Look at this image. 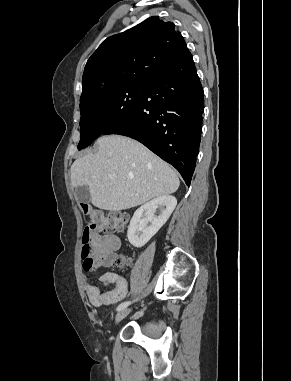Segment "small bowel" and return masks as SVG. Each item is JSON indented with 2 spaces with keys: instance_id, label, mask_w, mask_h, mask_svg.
Returning <instances> with one entry per match:
<instances>
[{
  "instance_id": "1",
  "label": "small bowel",
  "mask_w": 291,
  "mask_h": 381,
  "mask_svg": "<svg viewBox=\"0 0 291 381\" xmlns=\"http://www.w3.org/2000/svg\"><path fill=\"white\" fill-rule=\"evenodd\" d=\"M92 243L98 248V256L104 252H114L120 246V239L116 235H101L96 233L92 238ZM103 286H111L110 289L102 291L98 286L90 281H85V292L94 306L115 304L123 300L128 291V280L113 271L105 272L99 277Z\"/></svg>"
}]
</instances>
